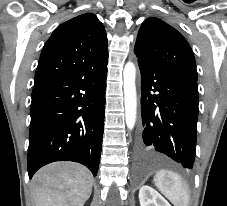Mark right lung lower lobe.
Instances as JSON below:
<instances>
[{"instance_id": "1", "label": "right lung lower lobe", "mask_w": 227, "mask_h": 206, "mask_svg": "<svg viewBox=\"0 0 227 206\" xmlns=\"http://www.w3.org/2000/svg\"><path fill=\"white\" fill-rule=\"evenodd\" d=\"M107 61L35 82L30 108L28 173L55 161H74L96 176L105 117Z\"/></svg>"}]
</instances>
